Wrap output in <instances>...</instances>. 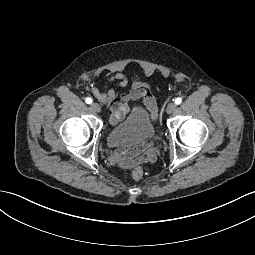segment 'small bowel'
Instances as JSON below:
<instances>
[{"instance_id": "1", "label": "small bowel", "mask_w": 255, "mask_h": 255, "mask_svg": "<svg viewBox=\"0 0 255 255\" xmlns=\"http://www.w3.org/2000/svg\"><path fill=\"white\" fill-rule=\"evenodd\" d=\"M107 85L103 90L92 86L90 91L92 95L102 104L108 106L111 111L110 124L122 120L130 110L129 102L136 99H142L144 105L151 115L156 118L157 104L148 84L134 78L132 89L129 92L116 94L115 87H126L129 80L125 74L117 71L106 73ZM156 155L151 144H142L133 148L116 150L110 161L121 169H131L140 164H153Z\"/></svg>"}]
</instances>
